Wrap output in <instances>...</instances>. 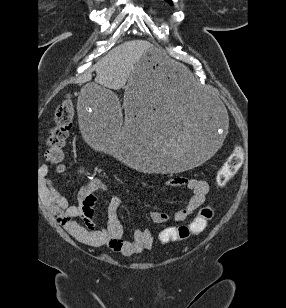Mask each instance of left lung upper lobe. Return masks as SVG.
Wrapping results in <instances>:
<instances>
[{
  "instance_id": "obj_1",
  "label": "left lung upper lobe",
  "mask_w": 286,
  "mask_h": 308,
  "mask_svg": "<svg viewBox=\"0 0 286 308\" xmlns=\"http://www.w3.org/2000/svg\"><path fill=\"white\" fill-rule=\"evenodd\" d=\"M165 1L169 2L172 5V1L171 0H165Z\"/></svg>"
}]
</instances>
